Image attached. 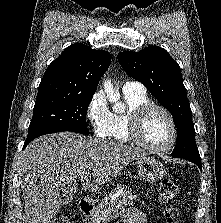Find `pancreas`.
<instances>
[{
	"instance_id": "pancreas-1",
	"label": "pancreas",
	"mask_w": 221,
	"mask_h": 223,
	"mask_svg": "<svg viewBox=\"0 0 221 223\" xmlns=\"http://www.w3.org/2000/svg\"><path fill=\"white\" fill-rule=\"evenodd\" d=\"M122 192L117 199H112L111 194L106 196L98 206L93 210L90 223H107L112 213L117 209H122L133 205V201L137 196L130 193L126 186H119Z\"/></svg>"
}]
</instances>
